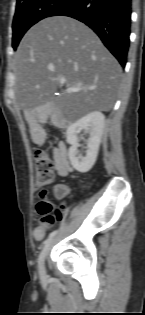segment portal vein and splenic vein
<instances>
[{
	"label": "portal vein and splenic vein",
	"instance_id": "18ae733b",
	"mask_svg": "<svg viewBox=\"0 0 145 315\" xmlns=\"http://www.w3.org/2000/svg\"><path fill=\"white\" fill-rule=\"evenodd\" d=\"M65 83V79H61L60 80V84L63 85ZM88 89H92V88H88ZM81 90H87V88H67L66 91L67 92H78V91H81Z\"/></svg>",
	"mask_w": 145,
	"mask_h": 315
}]
</instances>
